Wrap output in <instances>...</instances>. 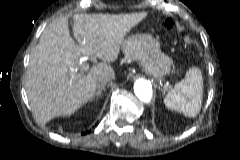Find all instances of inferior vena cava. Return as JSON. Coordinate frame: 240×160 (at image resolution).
<instances>
[{
	"label": "inferior vena cava",
	"instance_id": "602c4592",
	"mask_svg": "<svg viewBox=\"0 0 240 160\" xmlns=\"http://www.w3.org/2000/svg\"><path fill=\"white\" fill-rule=\"evenodd\" d=\"M110 81L109 78H105L101 81L98 82V85L97 87L100 89V88H104V86Z\"/></svg>",
	"mask_w": 240,
	"mask_h": 160
}]
</instances>
